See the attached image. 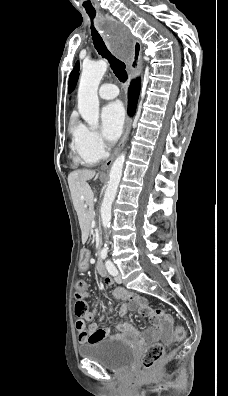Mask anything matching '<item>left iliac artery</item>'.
<instances>
[{
    "label": "left iliac artery",
    "instance_id": "44dca946",
    "mask_svg": "<svg viewBox=\"0 0 228 396\" xmlns=\"http://www.w3.org/2000/svg\"><path fill=\"white\" fill-rule=\"evenodd\" d=\"M105 266H106L108 272H109L112 276H115V275L118 274V271H117L116 267L114 266V264H113L110 260H107V261L105 262Z\"/></svg>",
    "mask_w": 228,
    "mask_h": 396
}]
</instances>
